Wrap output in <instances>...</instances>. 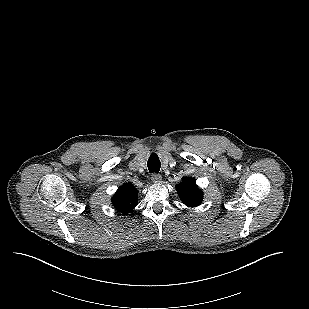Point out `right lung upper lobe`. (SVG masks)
Here are the masks:
<instances>
[{
  "label": "right lung upper lobe",
  "instance_id": "obj_1",
  "mask_svg": "<svg viewBox=\"0 0 309 309\" xmlns=\"http://www.w3.org/2000/svg\"><path fill=\"white\" fill-rule=\"evenodd\" d=\"M137 201V191L130 183L120 186L112 197V204L123 215L130 213L137 205Z\"/></svg>",
  "mask_w": 309,
  "mask_h": 309
}]
</instances>
